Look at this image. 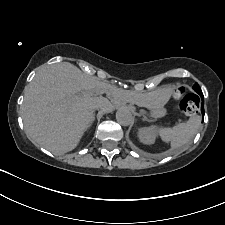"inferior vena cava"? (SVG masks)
Instances as JSON below:
<instances>
[{
    "instance_id": "602c4592",
    "label": "inferior vena cava",
    "mask_w": 225,
    "mask_h": 225,
    "mask_svg": "<svg viewBox=\"0 0 225 225\" xmlns=\"http://www.w3.org/2000/svg\"><path fill=\"white\" fill-rule=\"evenodd\" d=\"M102 108L101 106H96V109Z\"/></svg>"
}]
</instances>
